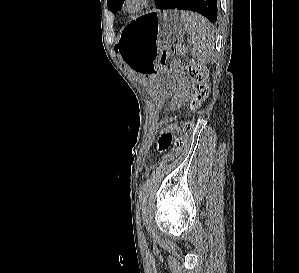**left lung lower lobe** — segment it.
Wrapping results in <instances>:
<instances>
[{"label":"left lung lower lobe","mask_w":299,"mask_h":273,"mask_svg":"<svg viewBox=\"0 0 299 273\" xmlns=\"http://www.w3.org/2000/svg\"><path fill=\"white\" fill-rule=\"evenodd\" d=\"M158 9L191 10L215 23L218 16L217 0H155Z\"/></svg>","instance_id":"left-lung-lower-lobe-1"}]
</instances>
